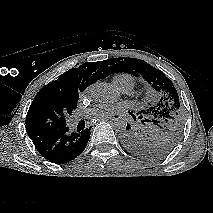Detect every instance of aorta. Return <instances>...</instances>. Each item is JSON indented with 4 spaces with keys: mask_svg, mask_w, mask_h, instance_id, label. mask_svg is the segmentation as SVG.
I'll return each mask as SVG.
<instances>
[{
    "mask_svg": "<svg viewBox=\"0 0 213 213\" xmlns=\"http://www.w3.org/2000/svg\"><path fill=\"white\" fill-rule=\"evenodd\" d=\"M90 95L97 102L110 103L118 98L119 93L106 83H96L90 88ZM112 126L116 131L122 132L126 129L127 123L123 118H115Z\"/></svg>",
    "mask_w": 213,
    "mask_h": 213,
    "instance_id": "aorta-1",
    "label": "aorta"
}]
</instances>
